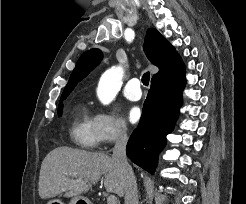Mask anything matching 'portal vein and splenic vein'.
<instances>
[{
	"mask_svg": "<svg viewBox=\"0 0 246 204\" xmlns=\"http://www.w3.org/2000/svg\"><path fill=\"white\" fill-rule=\"evenodd\" d=\"M107 204H117V197L115 195H109L107 197Z\"/></svg>",
	"mask_w": 246,
	"mask_h": 204,
	"instance_id": "obj_1",
	"label": "portal vein and splenic vein"
}]
</instances>
